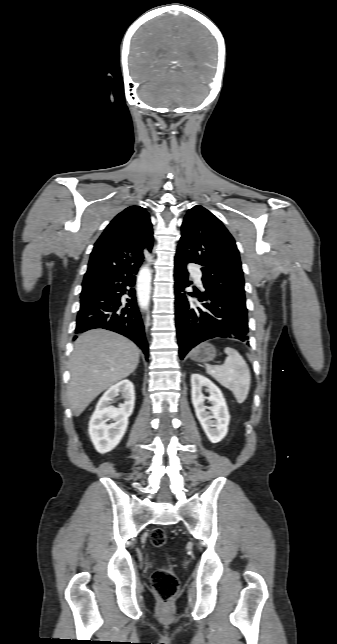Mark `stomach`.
<instances>
[{"instance_id": "stomach-1", "label": "stomach", "mask_w": 337, "mask_h": 644, "mask_svg": "<svg viewBox=\"0 0 337 644\" xmlns=\"http://www.w3.org/2000/svg\"><path fill=\"white\" fill-rule=\"evenodd\" d=\"M190 357L196 362H209L216 357V349L212 344L203 343L192 350Z\"/></svg>"}]
</instances>
